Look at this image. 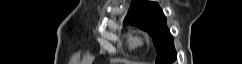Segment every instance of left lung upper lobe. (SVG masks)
<instances>
[{
    "label": "left lung upper lobe",
    "instance_id": "5c2ea615",
    "mask_svg": "<svg viewBox=\"0 0 242 64\" xmlns=\"http://www.w3.org/2000/svg\"><path fill=\"white\" fill-rule=\"evenodd\" d=\"M123 24L135 25L152 36L158 55L155 61L157 64H170L176 59L173 36L156 2L134 0Z\"/></svg>",
    "mask_w": 242,
    "mask_h": 64
}]
</instances>
